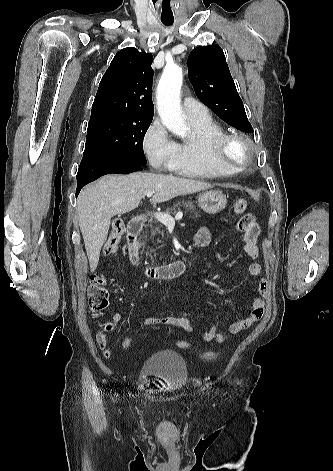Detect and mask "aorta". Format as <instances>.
Returning <instances> with one entry per match:
<instances>
[{
	"label": "aorta",
	"instance_id": "aorta-1",
	"mask_svg": "<svg viewBox=\"0 0 333 471\" xmlns=\"http://www.w3.org/2000/svg\"><path fill=\"white\" fill-rule=\"evenodd\" d=\"M182 69L167 65L157 87V105L163 125L180 138L187 136V126L180 107Z\"/></svg>",
	"mask_w": 333,
	"mask_h": 471
}]
</instances>
